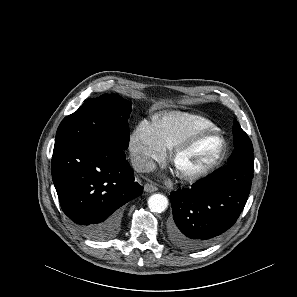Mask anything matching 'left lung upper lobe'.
Masks as SVG:
<instances>
[{"mask_svg": "<svg viewBox=\"0 0 297 297\" xmlns=\"http://www.w3.org/2000/svg\"><path fill=\"white\" fill-rule=\"evenodd\" d=\"M233 144L235 147L228 164L254 163L252 142L237 120H234L233 124Z\"/></svg>", "mask_w": 297, "mask_h": 297, "instance_id": "5c2ea615", "label": "left lung upper lobe"}]
</instances>
